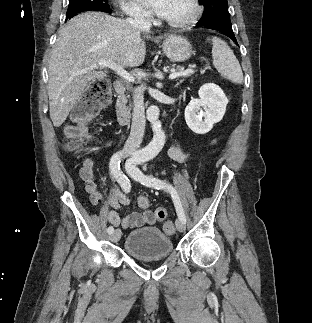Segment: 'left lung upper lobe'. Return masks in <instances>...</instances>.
<instances>
[{
    "mask_svg": "<svg viewBox=\"0 0 312 323\" xmlns=\"http://www.w3.org/2000/svg\"><path fill=\"white\" fill-rule=\"evenodd\" d=\"M199 4L204 5V13L198 27L213 26L220 21L231 23L227 0H199Z\"/></svg>",
    "mask_w": 312,
    "mask_h": 323,
    "instance_id": "1",
    "label": "left lung upper lobe"
}]
</instances>
